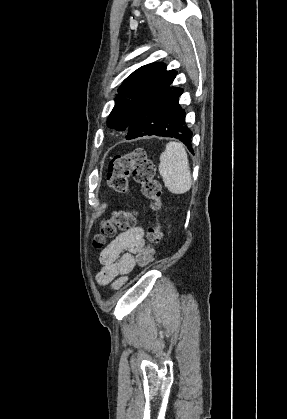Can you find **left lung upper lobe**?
Segmentation results:
<instances>
[{
  "instance_id": "obj_1",
  "label": "left lung upper lobe",
  "mask_w": 287,
  "mask_h": 419,
  "mask_svg": "<svg viewBox=\"0 0 287 419\" xmlns=\"http://www.w3.org/2000/svg\"><path fill=\"white\" fill-rule=\"evenodd\" d=\"M176 75L175 70L167 71L162 62L148 64L134 71L118 89L115 106L107 119L108 127L118 131L128 130L138 108L168 89Z\"/></svg>"
}]
</instances>
